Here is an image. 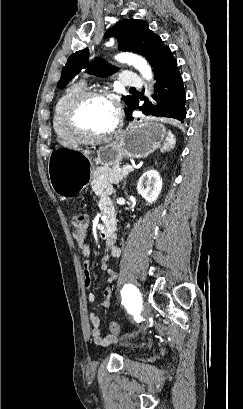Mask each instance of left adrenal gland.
<instances>
[{
  "label": "left adrenal gland",
  "instance_id": "obj_1",
  "mask_svg": "<svg viewBox=\"0 0 243 409\" xmlns=\"http://www.w3.org/2000/svg\"><path fill=\"white\" fill-rule=\"evenodd\" d=\"M125 184H126V182L124 181V184H123V186H122V189H124V187H125Z\"/></svg>",
  "mask_w": 243,
  "mask_h": 409
}]
</instances>
